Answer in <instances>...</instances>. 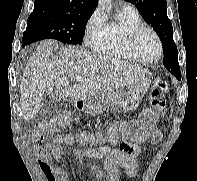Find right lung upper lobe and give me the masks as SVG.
Returning a JSON list of instances; mask_svg holds the SVG:
<instances>
[{
	"instance_id": "right-lung-upper-lobe-1",
	"label": "right lung upper lobe",
	"mask_w": 197,
	"mask_h": 181,
	"mask_svg": "<svg viewBox=\"0 0 197 181\" xmlns=\"http://www.w3.org/2000/svg\"><path fill=\"white\" fill-rule=\"evenodd\" d=\"M97 4L98 0H35L34 10L67 14L93 13Z\"/></svg>"
}]
</instances>
